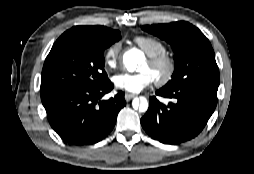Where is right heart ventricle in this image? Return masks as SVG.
Returning a JSON list of instances; mask_svg holds the SVG:
<instances>
[{"label":"right heart ventricle","mask_w":254,"mask_h":174,"mask_svg":"<svg viewBox=\"0 0 254 174\" xmlns=\"http://www.w3.org/2000/svg\"><path fill=\"white\" fill-rule=\"evenodd\" d=\"M133 41L148 57L166 52V45L156 37L140 35L134 37Z\"/></svg>","instance_id":"right-heart-ventricle-1"}]
</instances>
